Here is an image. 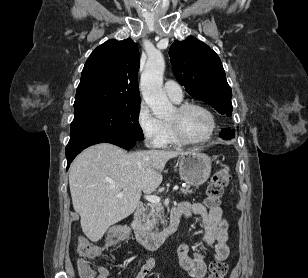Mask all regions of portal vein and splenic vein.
Instances as JSON below:
<instances>
[{"label": "portal vein and splenic vein", "instance_id": "1", "mask_svg": "<svg viewBox=\"0 0 308 278\" xmlns=\"http://www.w3.org/2000/svg\"><path fill=\"white\" fill-rule=\"evenodd\" d=\"M179 189L178 186H174L173 187V191H177ZM124 195V192H120L118 193L117 197L118 198H121L123 197ZM145 199L151 203H157V202H160V197L156 196V195H150V194H146L145 195Z\"/></svg>", "mask_w": 308, "mask_h": 278}]
</instances>
